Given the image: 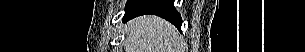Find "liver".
I'll return each instance as SVG.
<instances>
[{
    "instance_id": "obj_1",
    "label": "liver",
    "mask_w": 305,
    "mask_h": 52,
    "mask_svg": "<svg viewBox=\"0 0 305 52\" xmlns=\"http://www.w3.org/2000/svg\"><path fill=\"white\" fill-rule=\"evenodd\" d=\"M125 52H181L176 28L156 16L131 20L125 30Z\"/></svg>"
}]
</instances>
